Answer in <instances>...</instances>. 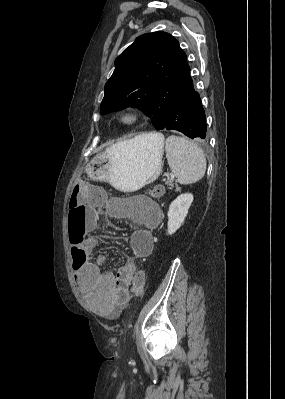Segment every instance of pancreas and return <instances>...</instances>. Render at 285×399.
I'll list each match as a JSON object with an SVG mask.
<instances>
[{
  "label": "pancreas",
  "mask_w": 285,
  "mask_h": 399,
  "mask_svg": "<svg viewBox=\"0 0 285 399\" xmlns=\"http://www.w3.org/2000/svg\"><path fill=\"white\" fill-rule=\"evenodd\" d=\"M173 182H174V180L172 178H168L165 183L169 186V189H172L174 187ZM175 185H176V187H178L177 184H175Z\"/></svg>",
  "instance_id": "1"
}]
</instances>
